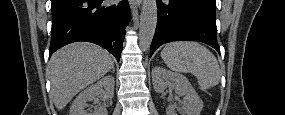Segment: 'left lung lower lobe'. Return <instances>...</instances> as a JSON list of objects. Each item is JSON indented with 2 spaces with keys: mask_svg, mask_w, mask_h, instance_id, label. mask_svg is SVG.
<instances>
[{
  "mask_svg": "<svg viewBox=\"0 0 285 115\" xmlns=\"http://www.w3.org/2000/svg\"><path fill=\"white\" fill-rule=\"evenodd\" d=\"M157 27L150 55L164 43L204 42L220 53L216 36V0H157Z\"/></svg>",
  "mask_w": 285,
  "mask_h": 115,
  "instance_id": "obj_1",
  "label": "left lung lower lobe"
}]
</instances>
